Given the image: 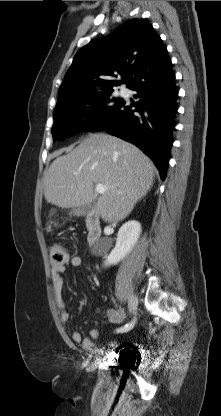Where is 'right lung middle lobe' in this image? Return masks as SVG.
Segmentation results:
<instances>
[{
	"label": "right lung middle lobe",
	"mask_w": 221,
	"mask_h": 416,
	"mask_svg": "<svg viewBox=\"0 0 221 416\" xmlns=\"http://www.w3.org/2000/svg\"><path fill=\"white\" fill-rule=\"evenodd\" d=\"M113 90L100 92L71 102L56 105L53 141L64 140L80 131H96L107 123L123 103L112 95Z\"/></svg>",
	"instance_id": "obj_1"
}]
</instances>
